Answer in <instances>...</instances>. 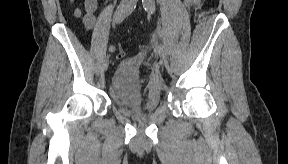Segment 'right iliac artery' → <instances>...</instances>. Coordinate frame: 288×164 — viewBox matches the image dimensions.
<instances>
[{"label": "right iliac artery", "instance_id": "obj_1", "mask_svg": "<svg viewBox=\"0 0 288 164\" xmlns=\"http://www.w3.org/2000/svg\"><path fill=\"white\" fill-rule=\"evenodd\" d=\"M127 16V12L123 9V8H119L114 16V22L116 24L121 23ZM109 52L113 53L115 52V46L114 45H110L109 46Z\"/></svg>", "mask_w": 288, "mask_h": 164}]
</instances>
